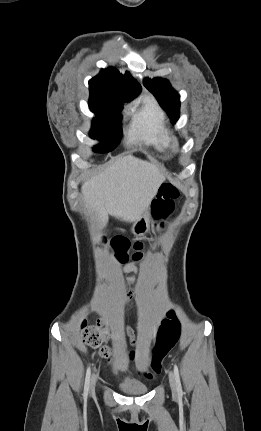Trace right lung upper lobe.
<instances>
[{"label":"right lung upper lobe","instance_id":"obj_1","mask_svg":"<svg viewBox=\"0 0 261 431\" xmlns=\"http://www.w3.org/2000/svg\"><path fill=\"white\" fill-rule=\"evenodd\" d=\"M89 90L113 95L122 100H131L140 91L141 86L132 78L129 72L120 74L113 67L102 69L101 72L89 81Z\"/></svg>","mask_w":261,"mask_h":431}]
</instances>
